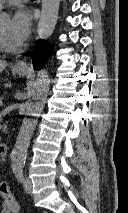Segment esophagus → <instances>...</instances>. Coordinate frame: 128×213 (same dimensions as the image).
<instances>
[{
	"label": "esophagus",
	"instance_id": "34e87169",
	"mask_svg": "<svg viewBox=\"0 0 128 213\" xmlns=\"http://www.w3.org/2000/svg\"><path fill=\"white\" fill-rule=\"evenodd\" d=\"M14 68L18 70H26L28 69V64L25 61L21 60L14 65Z\"/></svg>",
	"mask_w": 128,
	"mask_h": 213
}]
</instances>
